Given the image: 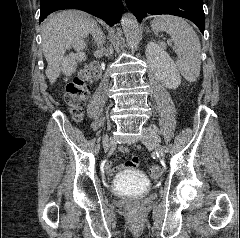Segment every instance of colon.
Wrapping results in <instances>:
<instances>
[{"label":"colon","instance_id":"colon-1","mask_svg":"<svg viewBox=\"0 0 240 238\" xmlns=\"http://www.w3.org/2000/svg\"><path fill=\"white\" fill-rule=\"evenodd\" d=\"M100 75L97 64H91L82 69L66 86L65 99L71 114L75 120H80L83 116L85 102L89 95L90 83ZM134 168V167H132ZM163 170L159 165H154L149 170L152 178L161 176Z\"/></svg>","mask_w":240,"mask_h":238}]
</instances>
